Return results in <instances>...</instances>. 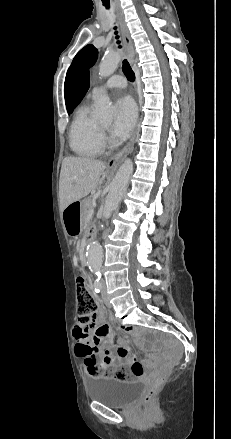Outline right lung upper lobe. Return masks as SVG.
<instances>
[{
  "label": "right lung upper lobe",
  "mask_w": 231,
  "mask_h": 439,
  "mask_svg": "<svg viewBox=\"0 0 231 439\" xmlns=\"http://www.w3.org/2000/svg\"><path fill=\"white\" fill-rule=\"evenodd\" d=\"M89 73L86 74V76L84 77L83 81L81 82V84L79 85L74 99H73V104H72V110L80 103V101L82 100L83 96L85 95V93L87 92L88 88H89Z\"/></svg>",
  "instance_id": "cb5924a9"
}]
</instances>
